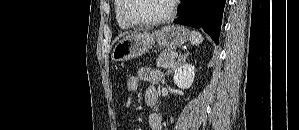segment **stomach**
<instances>
[{"instance_id":"stomach-1","label":"stomach","mask_w":299,"mask_h":130,"mask_svg":"<svg viewBox=\"0 0 299 130\" xmlns=\"http://www.w3.org/2000/svg\"><path fill=\"white\" fill-rule=\"evenodd\" d=\"M189 31L182 26H166L154 32L132 33L123 37L114 47L111 58L126 61L137 58L155 43L159 47H173L184 44L189 39Z\"/></svg>"}]
</instances>
